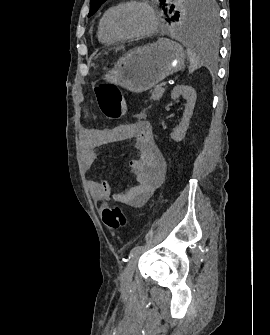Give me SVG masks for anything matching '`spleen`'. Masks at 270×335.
Masks as SVG:
<instances>
[{
    "label": "spleen",
    "mask_w": 270,
    "mask_h": 335,
    "mask_svg": "<svg viewBox=\"0 0 270 335\" xmlns=\"http://www.w3.org/2000/svg\"><path fill=\"white\" fill-rule=\"evenodd\" d=\"M205 48H202L201 42H193L187 48L188 58L191 62L189 72L197 70L198 66L202 64L203 60H206Z\"/></svg>",
    "instance_id": "obj_1"
}]
</instances>
